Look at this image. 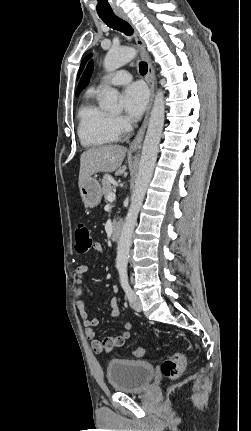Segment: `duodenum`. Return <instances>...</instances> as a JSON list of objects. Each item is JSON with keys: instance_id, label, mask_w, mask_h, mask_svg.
I'll list each match as a JSON object with an SVG mask.
<instances>
[{"instance_id": "duodenum-1", "label": "duodenum", "mask_w": 251, "mask_h": 431, "mask_svg": "<svg viewBox=\"0 0 251 431\" xmlns=\"http://www.w3.org/2000/svg\"><path fill=\"white\" fill-rule=\"evenodd\" d=\"M122 233V223L121 222H116L113 226L112 229V240L113 241H117L119 239V237L121 236Z\"/></svg>"}]
</instances>
